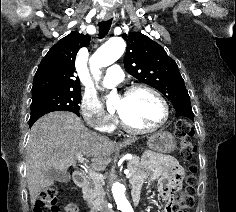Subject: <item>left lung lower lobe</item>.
<instances>
[{
	"label": "left lung lower lobe",
	"instance_id": "1",
	"mask_svg": "<svg viewBox=\"0 0 236 212\" xmlns=\"http://www.w3.org/2000/svg\"><path fill=\"white\" fill-rule=\"evenodd\" d=\"M176 116H183L193 120L194 114L191 105H179L176 109Z\"/></svg>",
	"mask_w": 236,
	"mask_h": 212
}]
</instances>
